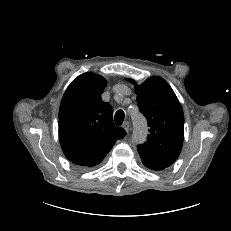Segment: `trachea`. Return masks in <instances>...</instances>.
Masks as SVG:
<instances>
[{
  "label": "trachea",
  "instance_id": "trachea-1",
  "mask_svg": "<svg viewBox=\"0 0 231 231\" xmlns=\"http://www.w3.org/2000/svg\"><path fill=\"white\" fill-rule=\"evenodd\" d=\"M124 112L122 110H118L116 113H115V117H114V120H115V123L116 125L120 126L122 125L123 121H124Z\"/></svg>",
  "mask_w": 231,
  "mask_h": 231
}]
</instances>
